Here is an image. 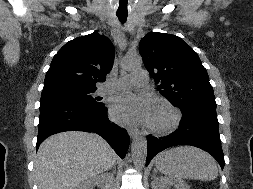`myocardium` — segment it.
<instances>
[{
    "label": "myocardium",
    "instance_id": "1",
    "mask_svg": "<svg viewBox=\"0 0 253 189\" xmlns=\"http://www.w3.org/2000/svg\"><path fill=\"white\" fill-rule=\"evenodd\" d=\"M155 109L165 110L168 113V119L163 124H154L150 122L148 127L151 132L157 135H166L173 132L179 126L182 115L180 110L173 104L166 100H159L155 105Z\"/></svg>",
    "mask_w": 253,
    "mask_h": 189
}]
</instances>
